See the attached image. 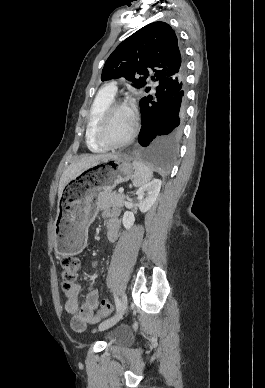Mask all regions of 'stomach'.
I'll return each instance as SVG.
<instances>
[{"mask_svg":"<svg viewBox=\"0 0 265 388\" xmlns=\"http://www.w3.org/2000/svg\"><path fill=\"white\" fill-rule=\"evenodd\" d=\"M134 166L123 154H112L73 177L58 200L54 223L55 250L61 256L77 255L87 242V229L97 211V198L133 176Z\"/></svg>","mask_w":265,"mask_h":388,"instance_id":"1","label":"stomach"}]
</instances>
